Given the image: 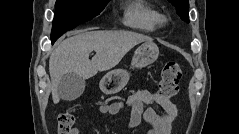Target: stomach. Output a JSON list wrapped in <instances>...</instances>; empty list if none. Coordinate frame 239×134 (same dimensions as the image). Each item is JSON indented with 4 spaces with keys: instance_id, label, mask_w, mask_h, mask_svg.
<instances>
[{
    "instance_id": "obj_1",
    "label": "stomach",
    "mask_w": 239,
    "mask_h": 134,
    "mask_svg": "<svg viewBox=\"0 0 239 134\" xmlns=\"http://www.w3.org/2000/svg\"><path fill=\"white\" fill-rule=\"evenodd\" d=\"M158 55V46L152 41H146L136 49L131 62L132 68L146 67L155 62ZM129 78L128 71L114 69L101 79L100 88L105 94L117 93L127 84Z\"/></svg>"
}]
</instances>
